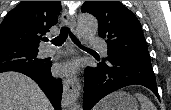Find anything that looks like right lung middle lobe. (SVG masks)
Listing matches in <instances>:
<instances>
[{
    "mask_svg": "<svg viewBox=\"0 0 171 110\" xmlns=\"http://www.w3.org/2000/svg\"><path fill=\"white\" fill-rule=\"evenodd\" d=\"M38 49L3 46L0 47V72L13 70L16 68L32 67L39 68L44 66L43 60L37 59Z\"/></svg>",
    "mask_w": 171,
    "mask_h": 110,
    "instance_id": "obj_1",
    "label": "right lung middle lobe"
}]
</instances>
